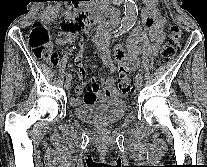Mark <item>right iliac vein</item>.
Listing matches in <instances>:
<instances>
[{"label": "right iliac vein", "mask_w": 207, "mask_h": 167, "mask_svg": "<svg viewBox=\"0 0 207 167\" xmlns=\"http://www.w3.org/2000/svg\"><path fill=\"white\" fill-rule=\"evenodd\" d=\"M64 86H65L66 89H69V88L71 87V82H70V80H66Z\"/></svg>", "instance_id": "1"}]
</instances>
